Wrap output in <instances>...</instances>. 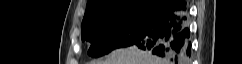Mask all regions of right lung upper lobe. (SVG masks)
Segmentation results:
<instances>
[{"mask_svg":"<svg viewBox=\"0 0 242 64\" xmlns=\"http://www.w3.org/2000/svg\"><path fill=\"white\" fill-rule=\"evenodd\" d=\"M173 0H88L82 21L85 24L97 17L133 9H148L162 13Z\"/></svg>","mask_w":242,"mask_h":64,"instance_id":"cb5924a9","label":"right lung upper lobe"}]
</instances>
